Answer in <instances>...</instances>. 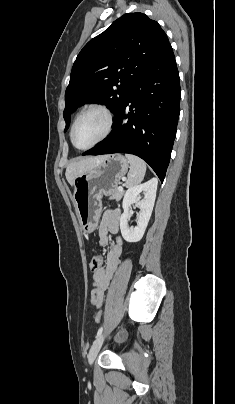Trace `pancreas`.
Listing matches in <instances>:
<instances>
[{
    "label": "pancreas",
    "mask_w": 235,
    "mask_h": 404,
    "mask_svg": "<svg viewBox=\"0 0 235 404\" xmlns=\"http://www.w3.org/2000/svg\"><path fill=\"white\" fill-rule=\"evenodd\" d=\"M124 195V191H119L118 188H116L113 193L110 196V199H116L117 201L121 200V198Z\"/></svg>",
    "instance_id": "pancreas-1"
}]
</instances>
